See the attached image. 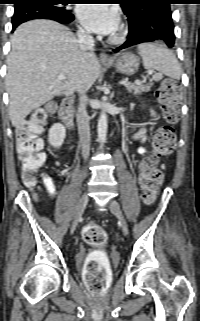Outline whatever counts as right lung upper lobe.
I'll use <instances>...</instances> for the list:
<instances>
[{"instance_id": "right-lung-upper-lobe-1", "label": "right lung upper lobe", "mask_w": 200, "mask_h": 321, "mask_svg": "<svg viewBox=\"0 0 200 321\" xmlns=\"http://www.w3.org/2000/svg\"><path fill=\"white\" fill-rule=\"evenodd\" d=\"M31 1L34 0H16L15 6L27 5L30 4Z\"/></svg>"}]
</instances>
